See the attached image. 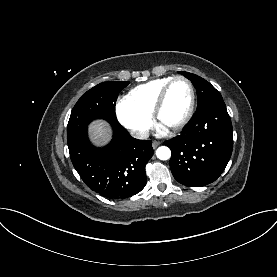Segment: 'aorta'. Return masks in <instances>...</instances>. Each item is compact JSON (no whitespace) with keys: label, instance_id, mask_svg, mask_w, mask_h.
<instances>
[{"label":"aorta","instance_id":"1","mask_svg":"<svg viewBox=\"0 0 277 277\" xmlns=\"http://www.w3.org/2000/svg\"><path fill=\"white\" fill-rule=\"evenodd\" d=\"M156 156L160 160H168L171 157V150L167 146H161L156 150Z\"/></svg>","mask_w":277,"mask_h":277}]
</instances>
